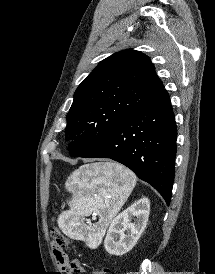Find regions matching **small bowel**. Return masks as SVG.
Here are the masks:
<instances>
[{"label":"small bowel","instance_id":"1","mask_svg":"<svg viewBox=\"0 0 215 274\" xmlns=\"http://www.w3.org/2000/svg\"><path fill=\"white\" fill-rule=\"evenodd\" d=\"M63 247L58 246L55 244L54 247V255L56 258V261L59 265V267L65 271L68 272L69 274L72 273H83L84 268L80 261L74 260L71 261L68 257V255L63 251ZM93 274H99V272H94Z\"/></svg>","mask_w":215,"mask_h":274}]
</instances>
